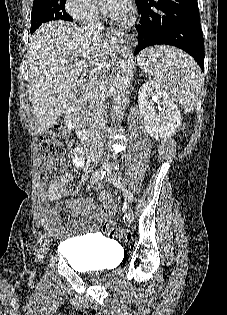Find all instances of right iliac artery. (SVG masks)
Wrapping results in <instances>:
<instances>
[{"mask_svg": "<svg viewBox=\"0 0 227 315\" xmlns=\"http://www.w3.org/2000/svg\"><path fill=\"white\" fill-rule=\"evenodd\" d=\"M105 174H106V171H105V170H99V171H97V172H96L95 174H93V176L91 177V183H92V184H95V183L101 181V180L104 178ZM46 235H47V234L43 235L42 238H43V237H46ZM42 238H41L38 242H42Z\"/></svg>", "mask_w": 227, "mask_h": 315, "instance_id": "right-iliac-artery-1", "label": "right iliac artery"}]
</instances>
